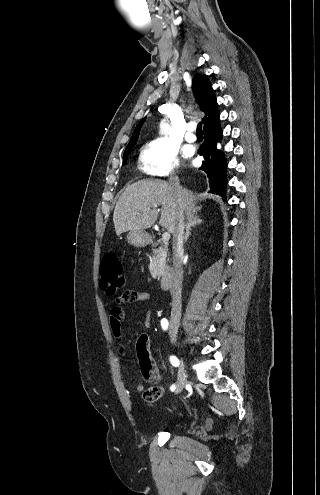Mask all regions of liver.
<instances>
[{
  "instance_id": "obj_1",
  "label": "liver",
  "mask_w": 320,
  "mask_h": 495,
  "mask_svg": "<svg viewBox=\"0 0 320 495\" xmlns=\"http://www.w3.org/2000/svg\"><path fill=\"white\" fill-rule=\"evenodd\" d=\"M194 200L192 192L181 188L179 201L170 183L160 180H140L128 185L118 199L113 213L116 234L119 236L130 230L152 227L158 218V206L162 207L160 226L173 234L180 204L187 217L201 209L195 207Z\"/></svg>"
}]
</instances>
